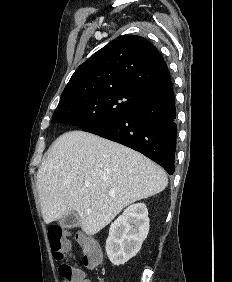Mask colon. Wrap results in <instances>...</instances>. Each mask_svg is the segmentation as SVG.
<instances>
[{
	"label": "colon",
	"instance_id": "1",
	"mask_svg": "<svg viewBox=\"0 0 232 282\" xmlns=\"http://www.w3.org/2000/svg\"><path fill=\"white\" fill-rule=\"evenodd\" d=\"M48 239L54 258L58 261L63 260L69 242L65 239L62 228L58 226L51 227L48 232ZM81 246L83 264L87 268H95L101 259L99 248L86 237L81 238ZM79 271V268L68 263H61L58 267V273L63 282H80L82 277Z\"/></svg>",
	"mask_w": 232,
	"mask_h": 282
}]
</instances>
